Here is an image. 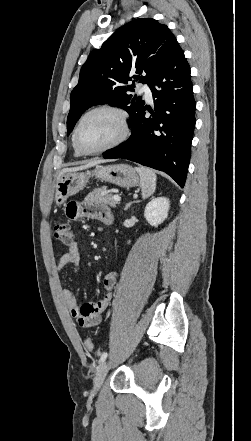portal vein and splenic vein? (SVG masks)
<instances>
[{"instance_id": "portal-vein-and-splenic-vein-1", "label": "portal vein and splenic vein", "mask_w": 251, "mask_h": 441, "mask_svg": "<svg viewBox=\"0 0 251 441\" xmlns=\"http://www.w3.org/2000/svg\"><path fill=\"white\" fill-rule=\"evenodd\" d=\"M112 198H113V200H114L115 202H117V203H119V202L121 201V197L118 196V195H114Z\"/></svg>"}]
</instances>
